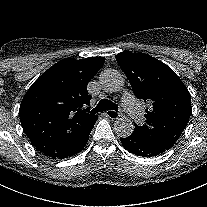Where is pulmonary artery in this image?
I'll list each match as a JSON object with an SVG mask.
<instances>
[{
  "label": "pulmonary artery",
  "mask_w": 207,
  "mask_h": 207,
  "mask_svg": "<svg viewBox=\"0 0 207 207\" xmlns=\"http://www.w3.org/2000/svg\"><path fill=\"white\" fill-rule=\"evenodd\" d=\"M121 106L132 121H139L142 118V110L132 96H124L121 99Z\"/></svg>",
  "instance_id": "e3ab8cb5"
}]
</instances>
